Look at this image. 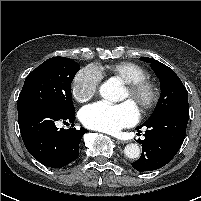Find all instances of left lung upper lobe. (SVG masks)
Wrapping results in <instances>:
<instances>
[{
  "instance_id": "obj_1",
  "label": "left lung upper lobe",
  "mask_w": 201,
  "mask_h": 201,
  "mask_svg": "<svg viewBox=\"0 0 201 201\" xmlns=\"http://www.w3.org/2000/svg\"><path fill=\"white\" fill-rule=\"evenodd\" d=\"M141 60L150 63L152 70L160 79L161 86L158 104L148 120L172 109H189L188 92L175 72L155 59L141 58Z\"/></svg>"
}]
</instances>
